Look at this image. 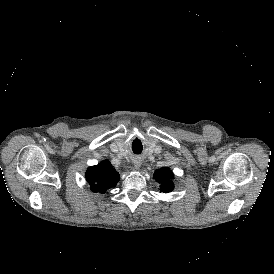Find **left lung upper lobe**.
Returning a JSON list of instances; mask_svg holds the SVG:
<instances>
[{"mask_svg":"<svg viewBox=\"0 0 274 274\" xmlns=\"http://www.w3.org/2000/svg\"><path fill=\"white\" fill-rule=\"evenodd\" d=\"M174 175L172 171L168 167H163L161 169H158L154 173V179L156 182L160 184V191L161 192H170L174 188L173 183Z\"/></svg>","mask_w":274,"mask_h":274,"instance_id":"5c2ea615","label":"left lung upper lobe"}]
</instances>
